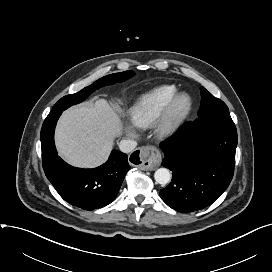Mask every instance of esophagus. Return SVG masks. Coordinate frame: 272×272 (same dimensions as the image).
Segmentation results:
<instances>
[{
	"label": "esophagus",
	"instance_id": "34e87169",
	"mask_svg": "<svg viewBox=\"0 0 272 272\" xmlns=\"http://www.w3.org/2000/svg\"><path fill=\"white\" fill-rule=\"evenodd\" d=\"M160 161L161 153L154 146H143L130 156V162L136 165L140 164L137 167L146 171L154 170Z\"/></svg>",
	"mask_w": 272,
	"mask_h": 272
}]
</instances>
